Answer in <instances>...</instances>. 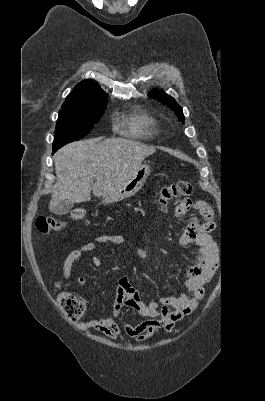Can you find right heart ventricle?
<instances>
[{
    "mask_svg": "<svg viewBox=\"0 0 265 401\" xmlns=\"http://www.w3.org/2000/svg\"><path fill=\"white\" fill-rule=\"evenodd\" d=\"M127 124L132 133L143 135L151 132L155 128L156 122L148 112L136 108L131 111Z\"/></svg>",
    "mask_w": 265,
    "mask_h": 401,
    "instance_id": "right-heart-ventricle-1",
    "label": "right heart ventricle"
}]
</instances>
